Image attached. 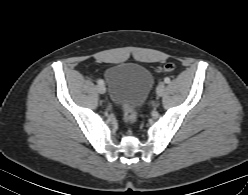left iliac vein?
Returning a JSON list of instances; mask_svg holds the SVG:
<instances>
[{
  "instance_id": "4c4485c4",
  "label": "left iliac vein",
  "mask_w": 248,
  "mask_h": 195,
  "mask_svg": "<svg viewBox=\"0 0 248 195\" xmlns=\"http://www.w3.org/2000/svg\"><path fill=\"white\" fill-rule=\"evenodd\" d=\"M156 91L158 96H162L165 91V85L163 83L159 84Z\"/></svg>"
}]
</instances>
